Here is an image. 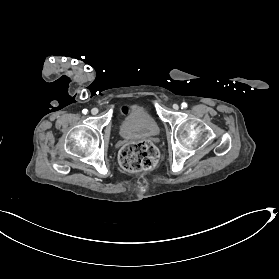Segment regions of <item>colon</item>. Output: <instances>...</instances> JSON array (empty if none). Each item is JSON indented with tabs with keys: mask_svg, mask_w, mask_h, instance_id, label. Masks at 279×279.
I'll use <instances>...</instances> for the list:
<instances>
[{
	"mask_svg": "<svg viewBox=\"0 0 279 279\" xmlns=\"http://www.w3.org/2000/svg\"><path fill=\"white\" fill-rule=\"evenodd\" d=\"M119 160L123 168L130 172L147 170L155 166L157 151L149 142L130 143L121 149Z\"/></svg>",
	"mask_w": 279,
	"mask_h": 279,
	"instance_id": "5ec220e1",
	"label": "colon"
}]
</instances>
